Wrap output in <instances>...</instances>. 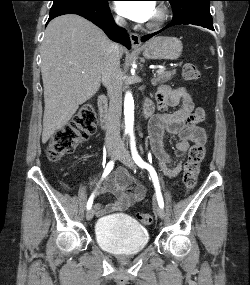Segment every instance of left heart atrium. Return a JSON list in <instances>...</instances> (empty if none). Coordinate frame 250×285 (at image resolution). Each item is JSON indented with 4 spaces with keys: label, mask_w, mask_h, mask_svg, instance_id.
<instances>
[{
    "label": "left heart atrium",
    "mask_w": 250,
    "mask_h": 285,
    "mask_svg": "<svg viewBox=\"0 0 250 285\" xmlns=\"http://www.w3.org/2000/svg\"><path fill=\"white\" fill-rule=\"evenodd\" d=\"M116 7L123 16L140 23L150 20L155 10L152 1H119Z\"/></svg>",
    "instance_id": "1"
}]
</instances>
